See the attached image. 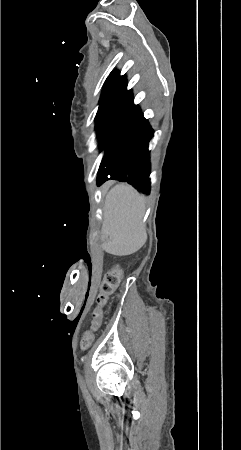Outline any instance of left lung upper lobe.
<instances>
[{
  "label": "left lung upper lobe",
  "instance_id": "left-lung-upper-lobe-1",
  "mask_svg": "<svg viewBox=\"0 0 241 450\" xmlns=\"http://www.w3.org/2000/svg\"><path fill=\"white\" fill-rule=\"evenodd\" d=\"M124 86V76L119 72H112L105 81L104 88L99 101L98 113L104 109L121 91Z\"/></svg>",
  "mask_w": 241,
  "mask_h": 450
}]
</instances>
